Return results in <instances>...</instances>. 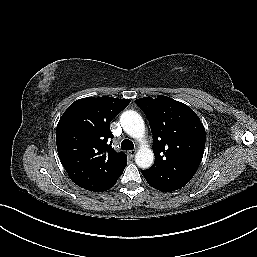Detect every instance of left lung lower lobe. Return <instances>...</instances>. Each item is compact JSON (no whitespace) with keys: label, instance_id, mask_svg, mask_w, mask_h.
I'll return each mask as SVG.
<instances>
[{"label":"left lung lower lobe","instance_id":"left-lung-lower-lobe-1","mask_svg":"<svg viewBox=\"0 0 257 257\" xmlns=\"http://www.w3.org/2000/svg\"><path fill=\"white\" fill-rule=\"evenodd\" d=\"M148 184L159 191L171 192L185 186L191 176L175 172L168 168L153 169L141 171Z\"/></svg>","mask_w":257,"mask_h":257}]
</instances>
